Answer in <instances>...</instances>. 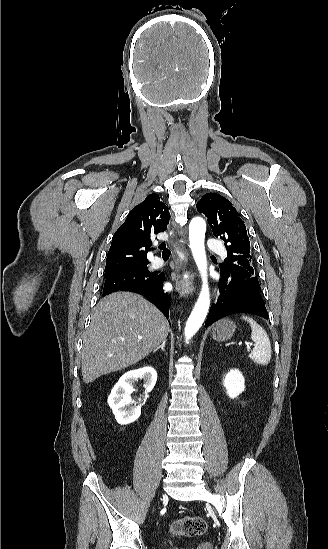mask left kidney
Masks as SVG:
<instances>
[{
	"instance_id": "5707ae66",
	"label": "left kidney",
	"mask_w": 328,
	"mask_h": 549,
	"mask_svg": "<svg viewBox=\"0 0 328 549\" xmlns=\"http://www.w3.org/2000/svg\"><path fill=\"white\" fill-rule=\"evenodd\" d=\"M244 383L245 379L239 369H230L223 381L228 397L235 399V397L241 395L245 389Z\"/></svg>"
}]
</instances>
